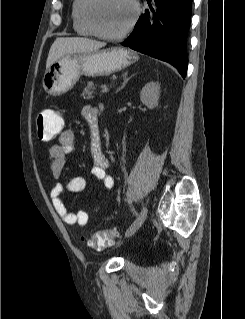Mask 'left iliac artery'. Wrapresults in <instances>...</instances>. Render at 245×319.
<instances>
[{
  "label": "left iliac artery",
  "mask_w": 245,
  "mask_h": 319,
  "mask_svg": "<svg viewBox=\"0 0 245 319\" xmlns=\"http://www.w3.org/2000/svg\"><path fill=\"white\" fill-rule=\"evenodd\" d=\"M128 196H129L130 199H134L135 198L134 193H133V191L131 189L128 192Z\"/></svg>",
  "instance_id": "1"
}]
</instances>
